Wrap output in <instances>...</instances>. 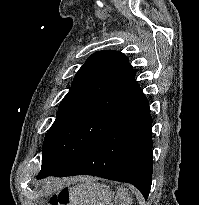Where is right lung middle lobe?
<instances>
[{"label": "right lung middle lobe", "instance_id": "right-lung-middle-lobe-1", "mask_svg": "<svg viewBox=\"0 0 199 205\" xmlns=\"http://www.w3.org/2000/svg\"><path fill=\"white\" fill-rule=\"evenodd\" d=\"M123 120L92 109L57 112L43 143L42 167L50 175L75 156L102 140Z\"/></svg>", "mask_w": 199, "mask_h": 205}]
</instances>
